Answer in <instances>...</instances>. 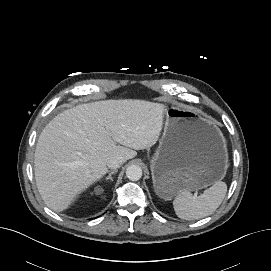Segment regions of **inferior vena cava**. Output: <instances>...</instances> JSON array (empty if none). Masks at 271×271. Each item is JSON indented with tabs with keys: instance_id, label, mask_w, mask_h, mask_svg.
<instances>
[{
	"instance_id": "602c4592",
	"label": "inferior vena cava",
	"mask_w": 271,
	"mask_h": 271,
	"mask_svg": "<svg viewBox=\"0 0 271 271\" xmlns=\"http://www.w3.org/2000/svg\"><path fill=\"white\" fill-rule=\"evenodd\" d=\"M124 163V158L121 156H113L111 157L108 162H107V166L110 169H117L119 168L122 164Z\"/></svg>"
}]
</instances>
